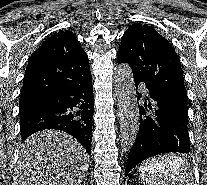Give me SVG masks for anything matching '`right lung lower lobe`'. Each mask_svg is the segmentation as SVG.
I'll return each instance as SVG.
<instances>
[{"mask_svg":"<svg viewBox=\"0 0 207 185\" xmlns=\"http://www.w3.org/2000/svg\"><path fill=\"white\" fill-rule=\"evenodd\" d=\"M91 75L72 82L53 96L19 109L22 141L44 129L65 131L91 152L94 128Z\"/></svg>","mask_w":207,"mask_h":185,"instance_id":"98d812e1","label":"right lung lower lobe"}]
</instances>
